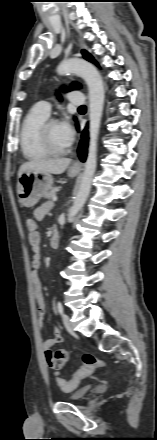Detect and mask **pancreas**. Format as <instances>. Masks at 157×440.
Instances as JSON below:
<instances>
[{
	"label": "pancreas",
	"instance_id": "obj_1",
	"mask_svg": "<svg viewBox=\"0 0 157 440\" xmlns=\"http://www.w3.org/2000/svg\"><path fill=\"white\" fill-rule=\"evenodd\" d=\"M58 190H59L58 187L51 189V190L45 195V198H47V199H49V200L52 199L53 196H55V194H56V192H57Z\"/></svg>",
	"mask_w": 157,
	"mask_h": 440
}]
</instances>
